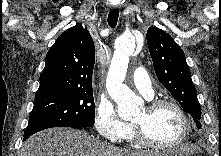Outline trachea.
<instances>
[{
	"label": "trachea",
	"instance_id": "obj_1",
	"mask_svg": "<svg viewBox=\"0 0 221 156\" xmlns=\"http://www.w3.org/2000/svg\"><path fill=\"white\" fill-rule=\"evenodd\" d=\"M118 16H119V10L114 9L111 10L108 14V24L110 27L114 28L117 24L118 21Z\"/></svg>",
	"mask_w": 221,
	"mask_h": 156
}]
</instances>
